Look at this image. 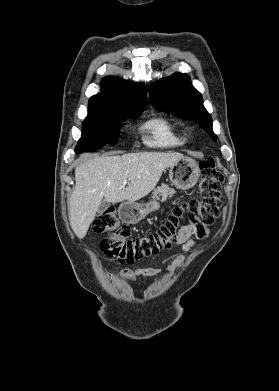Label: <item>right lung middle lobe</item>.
I'll return each instance as SVG.
<instances>
[{
  "mask_svg": "<svg viewBox=\"0 0 279 391\" xmlns=\"http://www.w3.org/2000/svg\"><path fill=\"white\" fill-rule=\"evenodd\" d=\"M143 111L144 108L135 111L89 113L83 122L82 137L75 152H89L105 144H115L120 133V123L139 116Z\"/></svg>",
  "mask_w": 279,
  "mask_h": 391,
  "instance_id": "obj_1",
  "label": "right lung middle lobe"
}]
</instances>
